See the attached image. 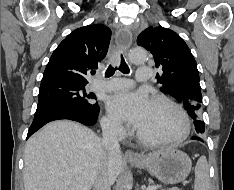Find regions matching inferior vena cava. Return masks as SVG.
<instances>
[{"label": "inferior vena cava", "mask_w": 234, "mask_h": 190, "mask_svg": "<svg viewBox=\"0 0 234 190\" xmlns=\"http://www.w3.org/2000/svg\"><path fill=\"white\" fill-rule=\"evenodd\" d=\"M118 129L119 126L116 122L102 124V144L104 145L106 152H120ZM110 185L106 171L102 170L95 178L93 190H111Z\"/></svg>", "instance_id": "obj_1"}]
</instances>
